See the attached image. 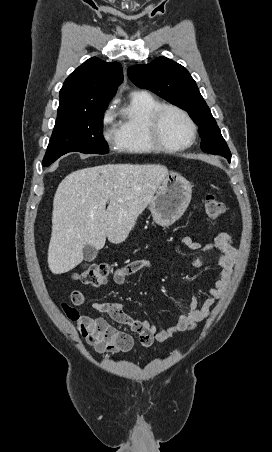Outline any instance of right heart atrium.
<instances>
[{"mask_svg":"<svg viewBox=\"0 0 272 452\" xmlns=\"http://www.w3.org/2000/svg\"><path fill=\"white\" fill-rule=\"evenodd\" d=\"M114 121V109L108 106L102 114L101 118V133L104 140L112 149L120 148V136L117 130L112 128Z\"/></svg>","mask_w":272,"mask_h":452,"instance_id":"right-heart-atrium-1","label":"right heart atrium"}]
</instances>
